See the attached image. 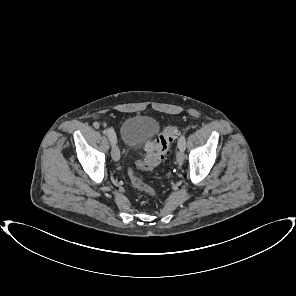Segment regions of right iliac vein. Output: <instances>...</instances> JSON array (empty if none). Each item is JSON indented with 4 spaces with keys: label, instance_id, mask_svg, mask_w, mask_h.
<instances>
[{
    "label": "right iliac vein",
    "instance_id": "1",
    "mask_svg": "<svg viewBox=\"0 0 296 296\" xmlns=\"http://www.w3.org/2000/svg\"><path fill=\"white\" fill-rule=\"evenodd\" d=\"M112 158L114 161H119L120 159V150L116 141L112 143Z\"/></svg>",
    "mask_w": 296,
    "mask_h": 296
}]
</instances>
